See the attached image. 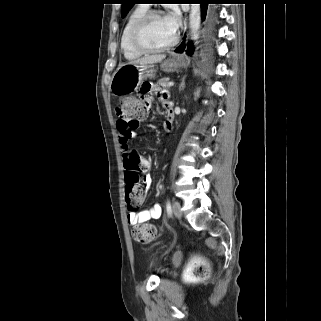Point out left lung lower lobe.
Returning a JSON list of instances; mask_svg holds the SVG:
<instances>
[{
	"label": "left lung lower lobe",
	"instance_id": "1",
	"mask_svg": "<svg viewBox=\"0 0 321 321\" xmlns=\"http://www.w3.org/2000/svg\"><path fill=\"white\" fill-rule=\"evenodd\" d=\"M201 4V17L204 22V38L209 40L213 33L214 24L217 20L215 10L209 4H214L213 0H195ZM192 54L194 49L192 42L185 44V40L176 48L175 52H184Z\"/></svg>",
	"mask_w": 321,
	"mask_h": 321
}]
</instances>
